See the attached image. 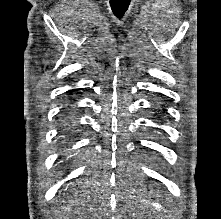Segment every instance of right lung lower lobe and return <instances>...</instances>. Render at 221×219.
I'll use <instances>...</instances> for the list:
<instances>
[{
    "mask_svg": "<svg viewBox=\"0 0 221 219\" xmlns=\"http://www.w3.org/2000/svg\"><path fill=\"white\" fill-rule=\"evenodd\" d=\"M74 126L68 120H65L60 130V140L67 142L73 135Z\"/></svg>",
    "mask_w": 221,
    "mask_h": 219,
    "instance_id": "obj_1",
    "label": "right lung lower lobe"
}]
</instances>
